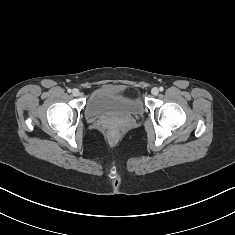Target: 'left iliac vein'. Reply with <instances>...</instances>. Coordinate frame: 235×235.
<instances>
[{"label":"left iliac vein","mask_w":235,"mask_h":235,"mask_svg":"<svg viewBox=\"0 0 235 235\" xmlns=\"http://www.w3.org/2000/svg\"><path fill=\"white\" fill-rule=\"evenodd\" d=\"M151 93L156 96L159 93V89L157 87H154L152 88Z\"/></svg>","instance_id":"4c4485c4"}]
</instances>
